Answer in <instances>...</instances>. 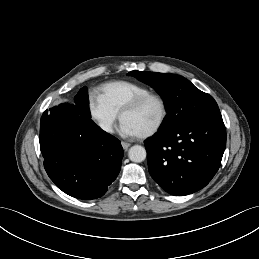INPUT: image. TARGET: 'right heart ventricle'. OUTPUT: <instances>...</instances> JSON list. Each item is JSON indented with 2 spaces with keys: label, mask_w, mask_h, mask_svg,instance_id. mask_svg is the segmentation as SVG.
Returning a JSON list of instances; mask_svg holds the SVG:
<instances>
[{
  "label": "right heart ventricle",
  "mask_w": 259,
  "mask_h": 259,
  "mask_svg": "<svg viewBox=\"0 0 259 259\" xmlns=\"http://www.w3.org/2000/svg\"><path fill=\"white\" fill-rule=\"evenodd\" d=\"M100 92V96L117 114L132 99L150 93L144 86L123 80L103 84Z\"/></svg>",
  "instance_id": "e07e8e85"
}]
</instances>
